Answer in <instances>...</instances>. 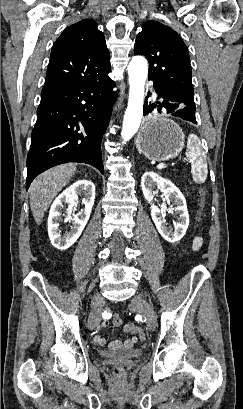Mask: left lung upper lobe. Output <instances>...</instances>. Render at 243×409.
<instances>
[{"label": "left lung upper lobe", "instance_id": "5c2ea615", "mask_svg": "<svg viewBox=\"0 0 243 409\" xmlns=\"http://www.w3.org/2000/svg\"><path fill=\"white\" fill-rule=\"evenodd\" d=\"M134 52L148 59L149 80L194 98L189 52L173 29L147 21L137 35Z\"/></svg>", "mask_w": 243, "mask_h": 409}]
</instances>
